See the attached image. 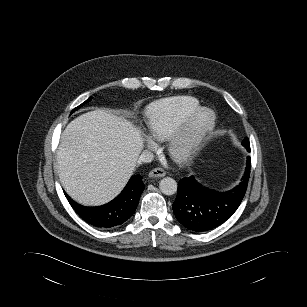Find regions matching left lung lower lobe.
<instances>
[{"label":"left lung lower lobe","instance_id":"0a47b994","mask_svg":"<svg viewBox=\"0 0 307 307\" xmlns=\"http://www.w3.org/2000/svg\"><path fill=\"white\" fill-rule=\"evenodd\" d=\"M250 167L251 159L248 156L241 183L226 192L205 188L193 176L181 179L173 203L177 220L195 232L209 231L223 224L235 213L245 195Z\"/></svg>","mask_w":307,"mask_h":307}]
</instances>
